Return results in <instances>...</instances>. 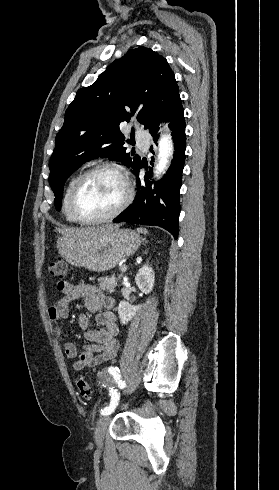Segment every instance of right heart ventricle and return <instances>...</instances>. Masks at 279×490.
I'll use <instances>...</instances> for the list:
<instances>
[{
    "label": "right heart ventricle",
    "mask_w": 279,
    "mask_h": 490,
    "mask_svg": "<svg viewBox=\"0 0 279 490\" xmlns=\"http://www.w3.org/2000/svg\"><path fill=\"white\" fill-rule=\"evenodd\" d=\"M79 176H80V173H75V174L71 175L70 178L67 180L65 187H64V191H63L62 214H63L65 220L71 224L77 223V221L74 219L72 212H71L70 201H71V194H72L74 184L76 183Z\"/></svg>",
    "instance_id": "obj_1"
}]
</instances>
